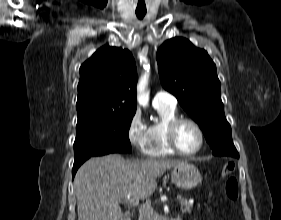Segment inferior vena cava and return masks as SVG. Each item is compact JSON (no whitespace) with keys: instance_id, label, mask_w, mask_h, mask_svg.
<instances>
[{"instance_id":"inferior-vena-cava-1","label":"inferior vena cava","mask_w":281,"mask_h":220,"mask_svg":"<svg viewBox=\"0 0 281 220\" xmlns=\"http://www.w3.org/2000/svg\"><path fill=\"white\" fill-rule=\"evenodd\" d=\"M139 220H156V215L150 201H146L140 206Z\"/></svg>"}]
</instances>
